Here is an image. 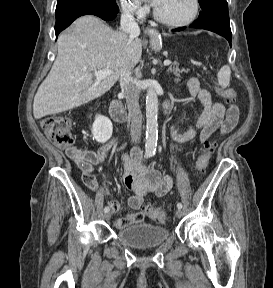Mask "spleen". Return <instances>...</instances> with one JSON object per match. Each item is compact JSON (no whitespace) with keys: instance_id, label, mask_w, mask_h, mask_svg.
I'll use <instances>...</instances> for the list:
<instances>
[{"instance_id":"3e777b00","label":"spleen","mask_w":273,"mask_h":288,"mask_svg":"<svg viewBox=\"0 0 273 288\" xmlns=\"http://www.w3.org/2000/svg\"><path fill=\"white\" fill-rule=\"evenodd\" d=\"M230 76H231L230 67L228 65L222 66V68L217 74L218 84L222 88H226L229 85Z\"/></svg>"}]
</instances>
